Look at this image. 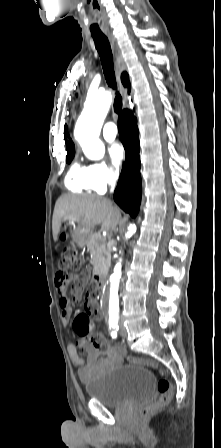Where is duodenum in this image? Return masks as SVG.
Listing matches in <instances>:
<instances>
[{"label":"duodenum","mask_w":221,"mask_h":448,"mask_svg":"<svg viewBox=\"0 0 221 448\" xmlns=\"http://www.w3.org/2000/svg\"><path fill=\"white\" fill-rule=\"evenodd\" d=\"M94 279L99 287L103 288L105 285V275L101 272L94 273Z\"/></svg>","instance_id":"obj_1"}]
</instances>
